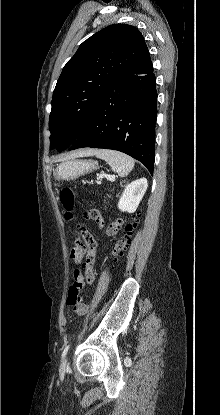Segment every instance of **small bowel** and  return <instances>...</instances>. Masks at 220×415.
I'll return each mask as SVG.
<instances>
[{"mask_svg":"<svg viewBox=\"0 0 220 415\" xmlns=\"http://www.w3.org/2000/svg\"><path fill=\"white\" fill-rule=\"evenodd\" d=\"M81 276L83 277V274L81 273ZM72 310L77 314V315H79V316H82L83 314H80L78 311H77V309H75V308H72Z\"/></svg>","mask_w":220,"mask_h":415,"instance_id":"small-bowel-1","label":"small bowel"}]
</instances>
